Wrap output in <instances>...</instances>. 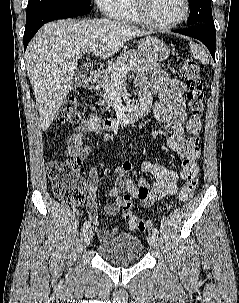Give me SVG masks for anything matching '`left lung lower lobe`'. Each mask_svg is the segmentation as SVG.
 Listing matches in <instances>:
<instances>
[{
    "label": "left lung lower lobe",
    "mask_w": 239,
    "mask_h": 303,
    "mask_svg": "<svg viewBox=\"0 0 239 303\" xmlns=\"http://www.w3.org/2000/svg\"><path fill=\"white\" fill-rule=\"evenodd\" d=\"M174 32L200 40L215 60L216 30L214 23H200L185 29L174 30Z\"/></svg>",
    "instance_id": "0a47b994"
}]
</instances>
